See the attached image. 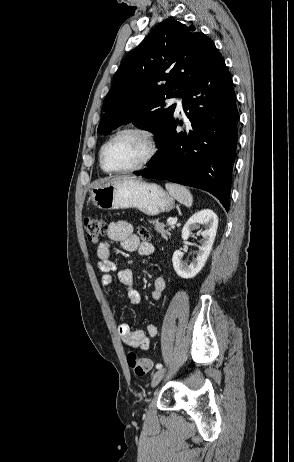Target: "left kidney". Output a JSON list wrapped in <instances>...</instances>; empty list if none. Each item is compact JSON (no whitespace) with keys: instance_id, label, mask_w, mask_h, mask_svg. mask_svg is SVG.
<instances>
[{"instance_id":"left-kidney-1","label":"left kidney","mask_w":294,"mask_h":462,"mask_svg":"<svg viewBox=\"0 0 294 462\" xmlns=\"http://www.w3.org/2000/svg\"><path fill=\"white\" fill-rule=\"evenodd\" d=\"M200 225H204L205 230H201L198 233V235L202 236V239L200 240L201 245L199 246L197 257L189 265L182 260L183 253L180 250H176L172 257L175 272L184 279L195 277L204 267L215 240L218 228L217 215L209 209L193 214L183 227L182 239L186 240L191 231L199 228Z\"/></svg>"}]
</instances>
